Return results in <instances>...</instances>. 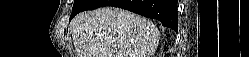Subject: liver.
<instances>
[{
  "instance_id": "6515ba94",
  "label": "liver",
  "mask_w": 249,
  "mask_h": 57,
  "mask_svg": "<svg viewBox=\"0 0 249 57\" xmlns=\"http://www.w3.org/2000/svg\"><path fill=\"white\" fill-rule=\"evenodd\" d=\"M72 25L79 57H151L160 36L151 21L113 7L82 12Z\"/></svg>"
}]
</instances>
